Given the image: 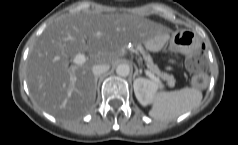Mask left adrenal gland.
<instances>
[{"instance_id": "left-adrenal-gland-1", "label": "left adrenal gland", "mask_w": 238, "mask_h": 145, "mask_svg": "<svg viewBox=\"0 0 238 145\" xmlns=\"http://www.w3.org/2000/svg\"><path fill=\"white\" fill-rule=\"evenodd\" d=\"M140 73H141V71H140V70H138V68H137V67H135L134 78H135V76H136V75H139Z\"/></svg>"}]
</instances>
